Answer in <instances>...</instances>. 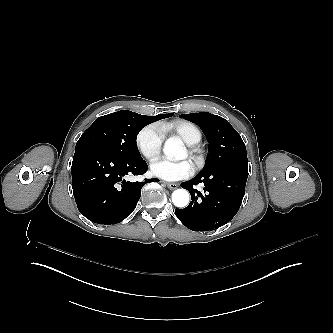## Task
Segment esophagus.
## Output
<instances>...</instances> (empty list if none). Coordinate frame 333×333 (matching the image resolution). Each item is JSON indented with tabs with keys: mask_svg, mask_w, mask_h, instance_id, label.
I'll return each instance as SVG.
<instances>
[{
	"mask_svg": "<svg viewBox=\"0 0 333 333\" xmlns=\"http://www.w3.org/2000/svg\"><path fill=\"white\" fill-rule=\"evenodd\" d=\"M166 185L170 190H175L178 187L175 183H166Z\"/></svg>",
	"mask_w": 333,
	"mask_h": 333,
	"instance_id": "esophagus-1",
	"label": "esophagus"
}]
</instances>
